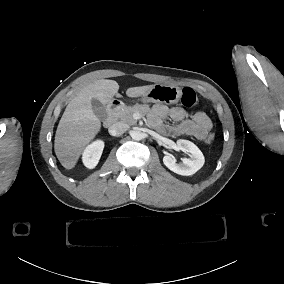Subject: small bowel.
Returning <instances> with one entry per match:
<instances>
[{"label":"small bowel","instance_id":"small-bowel-1","mask_svg":"<svg viewBox=\"0 0 284 284\" xmlns=\"http://www.w3.org/2000/svg\"><path fill=\"white\" fill-rule=\"evenodd\" d=\"M167 120L175 124H169ZM150 122L167 134L194 136L199 140H205L212 128V122L204 112H188L181 107L169 108L163 104H157L152 108Z\"/></svg>","mask_w":284,"mask_h":284}]
</instances>
